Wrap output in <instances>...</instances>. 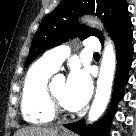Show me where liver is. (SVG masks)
<instances>
[{
	"label": "liver",
	"instance_id": "obj_1",
	"mask_svg": "<svg viewBox=\"0 0 136 136\" xmlns=\"http://www.w3.org/2000/svg\"><path fill=\"white\" fill-rule=\"evenodd\" d=\"M58 128L26 127L17 131L14 136H56Z\"/></svg>",
	"mask_w": 136,
	"mask_h": 136
}]
</instances>
